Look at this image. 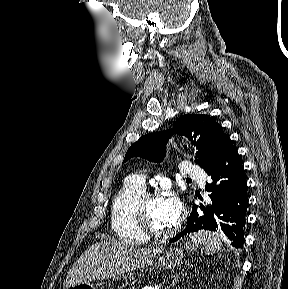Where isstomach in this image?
<instances>
[{
  "label": "stomach",
  "instance_id": "1",
  "mask_svg": "<svg viewBox=\"0 0 288 289\" xmlns=\"http://www.w3.org/2000/svg\"><path fill=\"white\" fill-rule=\"evenodd\" d=\"M192 240H188L184 244V248L173 247L160 256L156 262V265L161 270H169L178 266L182 258L184 257V250L187 252H194L199 247V242L191 237ZM71 289H96V286L91 282H85L77 284Z\"/></svg>",
  "mask_w": 288,
  "mask_h": 289
}]
</instances>
